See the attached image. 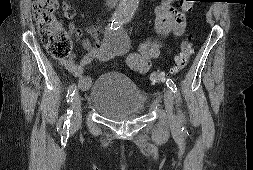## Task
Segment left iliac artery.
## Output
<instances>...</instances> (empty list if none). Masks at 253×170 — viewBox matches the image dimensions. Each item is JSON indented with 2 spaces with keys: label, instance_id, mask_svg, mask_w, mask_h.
Segmentation results:
<instances>
[{
  "label": "left iliac artery",
  "instance_id": "left-iliac-artery-1",
  "mask_svg": "<svg viewBox=\"0 0 253 170\" xmlns=\"http://www.w3.org/2000/svg\"><path fill=\"white\" fill-rule=\"evenodd\" d=\"M132 18V14H129L127 15L124 19H123V23H127L131 20ZM167 87L171 89V91L176 94L177 93V87H176V84L171 80V79H168L167 82ZM183 118V117H182ZM182 132H186V128L185 127H182Z\"/></svg>",
  "mask_w": 253,
  "mask_h": 170
}]
</instances>
